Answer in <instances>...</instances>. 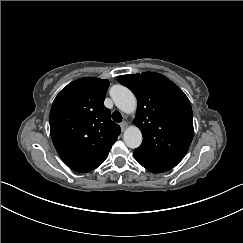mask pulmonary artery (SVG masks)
<instances>
[{"label": "pulmonary artery", "instance_id": "obj_1", "mask_svg": "<svg viewBox=\"0 0 243 243\" xmlns=\"http://www.w3.org/2000/svg\"><path fill=\"white\" fill-rule=\"evenodd\" d=\"M118 107L124 108V104L122 102H117Z\"/></svg>", "mask_w": 243, "mask_h": 243}]
</instances>
